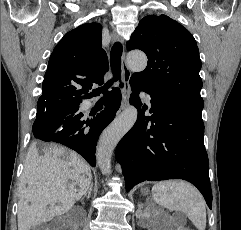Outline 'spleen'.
Returning <instances> with one entry per match:
<instances>
[{
  "label": "spleen",
  "mask_w": 241,
  "mask_h": 230,
  "mask_svg": "<svg viewBox=\"0 0 241 230\" xmlns=\"http://www.w3.org/2000/svg\"><path fill=\"white\" fill-rule=\"evenodd\" d=\"M154 201L169 209L183 211L198 230H205V201L199 191L183 181H163L152 188Z\"/></svg>",
  "instance_id": "spleen-1"
}]
</instances>
